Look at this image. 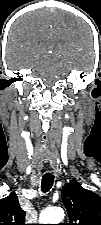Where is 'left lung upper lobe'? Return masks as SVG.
<instances>
[{
  "label": "left lung upper lobe",
  "instance_id": "1",
  "mask_svg": "<svg viewBox=\"0 0 101 225\" xmlns=\"http://www.w3.org/2000/svg\"><path fill=\"white\" fill-rule=\"evenodd\" d=\"M62 200L69 215L66 225H101V197L84 189L76 180L65 184Z\"/></svg>",
  "mask_w": 101,
  "mask_h": 225
}]
</instances>
